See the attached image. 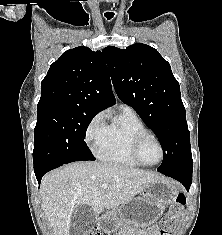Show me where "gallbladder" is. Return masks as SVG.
Here are the masks:
<instances>
[{"label":"gallbladder","instance_id":"gallbladder-1","mask_svg":"<svg viewBox=\"0 0 222 235\" xmlns=\"http://www.w3.org/2000/svg\"><path fill=\"white\" fill-rule=\"evenodd\" d=\"M95 222V215L90 206L79 205L73 212L70 224V235H87Z\"/></svg>","mask_w":222,"mask_h":235}]
</instances>
